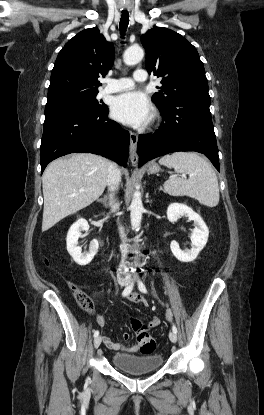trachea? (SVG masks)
Returning <instances> with one entry per match:
<instances>
[{
    "label": "trachea",
    "mask_w": 264,
    "mask_h": 415,
    "mask_svg": "<svg viewBox=\"0 0 264 415\" xmlns=\"http://www.w3.org/2000/svg\"><path fill=\"white\" fill-rule=\"evenodd\" d=\"M128 24H129V14H128V12L122 13L121 19H120V24H119V29H120L122 37L124 36V33L126 32Z\"/></svg>",
    "instance_id": "3493384b"
}]
</instances>
